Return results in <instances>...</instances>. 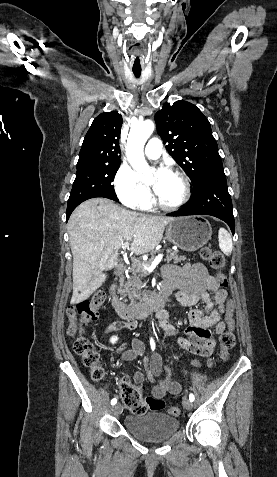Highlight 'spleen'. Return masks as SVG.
I'll list each match as a JSON object with an SVG mask.
<instances>
[{
  "label": "spleen",
  "mask_w": 277,
  "mask_h": 477,
  "mask_svg": "<svg viewBox=\"0 0 277 477\" xmlns=\"http://www.w3.org/2000/svg\"><path fill=\"white\" fill-rule=\"evenodd\" d=\"M218 239L221 251L227 256L231 255L233 244L229 232L224 228H220L218 232Z\"/></svg>",
  "instance_id": "spleen-1"
}]
</instances>
